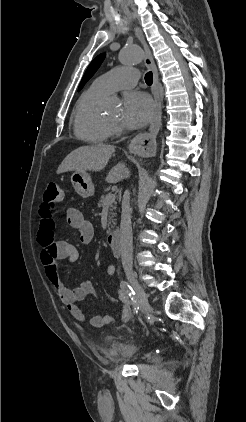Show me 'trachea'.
I'll return each instance as SVG.
<instances>
[{"instance_id":"trachea-1","label":"trachea","mask_w":246,"mask_h":422,"mask_svg":"<svg viewBox=\"0 0 246 422\" xmlns=\"http://www.w3.org/2000/svg\"><path fill=\"white\" fill-rule=\"evenodd\" d=\"M145 82L149 86L152 85V82H153V73L151 71L148 72V73H146V75H145Z\"/></svg>"}]
</instances>
